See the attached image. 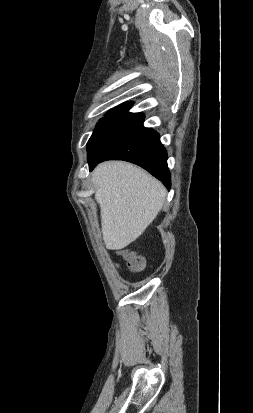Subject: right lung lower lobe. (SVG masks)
<instances>
[{"label": "right lung lower lobe", "mask_w": 253, "mask_h": 413, "mask_svg": "<svg viewBox=\"0 0 253 413\" xmlns=\"http://www.w3.org/2000/svg\"><path fill=\"white\" fill-rule=\"evenodd\" d=\"M105 160H125L137 164L161 180L168 189L171 187L167 152L159 140V134L151 128L142 127L103 157L90 162V171Z\"/></svg>", "instance_id": "98d812e1"}]
</instances>
